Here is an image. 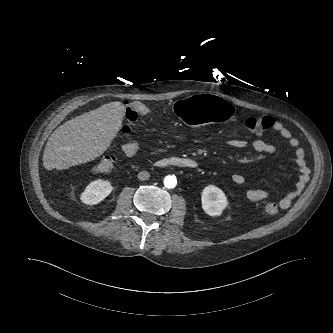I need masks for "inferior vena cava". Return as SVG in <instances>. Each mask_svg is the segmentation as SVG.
<instances>
[{
	"instance_id": "obj_1",
	"label": "inferior vena cava",
	"mask_w": 333,
	"mask_h": 333,
	"mask_svg": "<svg viewBox=\"0 0 333 333\" xmlns=\"http://www.w3.org/2000/svg\"><path fill=\"white\" fill-rule=\"evenodd\" d=\"M138 178L142 181H145L150 178V174L147 171H141L138 173Z\"/></svg>"
}]
</instances>
